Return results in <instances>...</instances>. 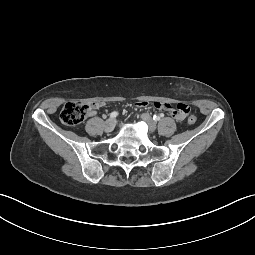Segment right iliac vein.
Listing matches in <instances>:
<instances>
[{"label": "right iliac vein", "mask_w": 255, "mask_h": 255, "mask_svg": "<svg viewBox=\"0 0 255 255\" xmlns=\"http://www.w3.org/2000/svg\"><path fill=\"white\" fill-rule=\"evenodd\" d=\"M114 127H115L114 119L110 118V119L106 120V122L104 124V129L106 132H112Z\"/></svg>", "instance_id": "obj_1"}]
</instances>
